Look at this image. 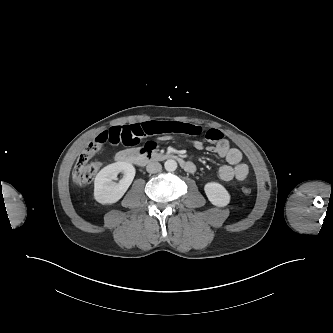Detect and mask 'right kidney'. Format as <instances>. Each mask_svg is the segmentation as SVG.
I'll return each mask as SVG.
<instances>
[{
    "mask_svg": "<svg viewBox=\"0 0 333 333\" xmlns=\"http://www.w3.org/2000/svg\"><path fill=\"white\" fill-rule=\"evenodd\" d=\"M123 178L115 183L119 173ZM135 176V168L127 162H116L99 171L94 181V198L102 205L114 204L119 201L131 185Z\"/></svg>",
    "mask_w": 333,
    "mask_h": 333,
    "instance_id": "1",
    "label": "right kidney"
}]
</instances>
